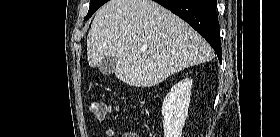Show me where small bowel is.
Here are the masks:
<instances>
[{"mask_svg": "<svg viewBox=\"0 0 280 137\" xmlns=\"http://www.w3.org/2000/svg\"><path fill=\"white\" fill-rule=\"evenodd\" d=\"M106 135H107V137H119V135L111 129L107 130ZM120 136L121 137H137L136 134H134L132 132H124Z\"/></svg>", "mask_w": 280, "mask_h": 137, "instance_id": "small-bowel-1", "label": "small bowel"}]
</instances>
